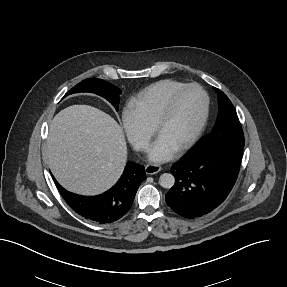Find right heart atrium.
Segmentation results:
<instances>
[{
  "label": "right heart atrium",
  "mask_w": 287,
  "mask_h": 287,
  "mask_svg": "<svg viewBox=\"0 0 287 287\" xmlns=\"http://www.w3.org/2000/svg\"><path fill=\"white\" fill-rule=\"evenodd\" d=\"M122 124L130 143L137 150H145L153 135L152 129L145 126L138 117L128 109L124 110L122 114Z\"/></svg>",
  "instance_id": "d8ad5b80"
}]
</instances>
